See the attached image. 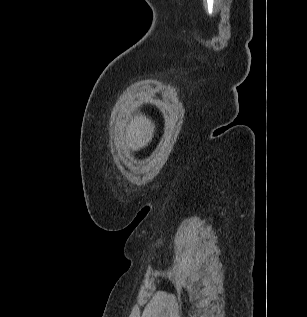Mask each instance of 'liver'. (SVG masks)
<instances>
[{
	"mask_svg": "<svg viewBox=\"0 0 307 317\" xmlns=\"http://www.w3.org/2000/svg\"><path fill=\"white\" fill-rule=\"evenodd\" d=\"M155 124L143 114H138L130 121L124 138L126 147L138 151L146 147L152 140Z\"/></svg>",
	"mask_w": 307,
	"mask_h": 317,
	"instance_id": "obj_1",
	"label": "liver"
}]
</instances>
